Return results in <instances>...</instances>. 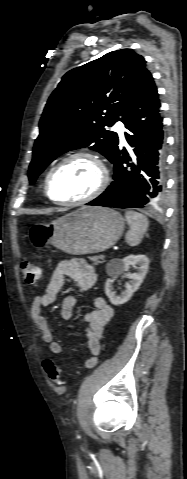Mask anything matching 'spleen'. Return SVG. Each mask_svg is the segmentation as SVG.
<instances>
[{"mask_svg":"<svg viewBox=\"0 0 187 479\" xmlns=\"http://www.w3.org/2000/svg\"><path fill=\"white\" fill-rule=\"evenodd\" d=\"M125 218L130 227L126 234V242L130 246H137L148 229L149 220L145 215L134 211H126Z\"/></svg>","mask_w":187,"mask_h":479,"instance_id":"3e777b00","label":"spleen"}]
</instances>
